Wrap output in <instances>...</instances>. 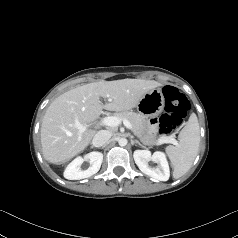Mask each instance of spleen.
Returning a JSON list of instances; mask_svg holds the SVG:
<instances>
[{
    "label": "spleen",
    "mask_w": 238,
    "mask_h": 238,
    "mask_svg": "<svg viewBox=\"0 0 238 238\" xmlns=\"http://www.w3.org/2000/svg\"><path fill=\"white\" fill-rule=\"evenodd\" d=\"M178 139L179 144L177 146L169 145L166 147V154L174 169V178L183 176L191 168L198 154L200 130L195 113L190 115L187 124L180 131Z\"/></svg>",
    "instance_id": "1"
}]
</instances>
